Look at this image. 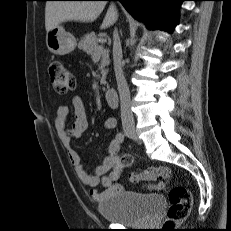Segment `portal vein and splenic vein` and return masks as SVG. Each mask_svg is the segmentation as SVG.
<instances>
[{
    "instance_id": "obj_1",
    "label": "portal vein and splenic vein",
    "mask_w": 231,
    "mask_h": 231,
    "mask_svg": "<svg viewBox=\"0 0 231 231\" xmlns=\"http://www.w3.org/2000/svg\"><path fill=\"white\" fill-rule=\"evenodd\" d=\"M102 49H103V47H102V46H101V47H99V51H100V50H102ZM99 51H98L95 55H93V56H100Z\"/></svg>"
}]
</instances>
